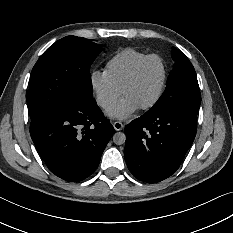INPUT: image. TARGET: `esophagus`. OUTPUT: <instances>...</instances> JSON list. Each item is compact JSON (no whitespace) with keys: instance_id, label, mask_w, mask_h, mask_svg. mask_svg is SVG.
<instances>
[{"instance_id":"1","label":"esophagus","mask_w":233,"mask_h":233,"mask_svg":"<svg viewBox=\"0 0 233 233\" xmlns=\"http://www.w3.org/2000/svg\"><path fill=\"white\" fill-rule=\"evenodd\" d=\"M113 127L115 128L116 131H120L123 129V124L119 121H116L113 123Z\"/></svg>"}]
</instances>
